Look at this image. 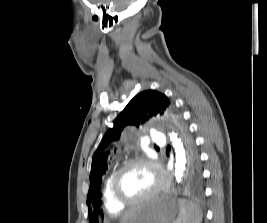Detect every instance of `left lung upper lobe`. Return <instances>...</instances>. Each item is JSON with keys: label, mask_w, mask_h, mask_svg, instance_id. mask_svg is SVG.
<instances>
[{"label": "left lung upper lobe", "mask_w": 267, "mask_h": 223, "mask_svg": "<svg viewBox=\"0 0 267 223\" xmlns=\"http://www.w3.org/2000/svg\"><path fill=\"white\" fill-rule=\"evenodd\" d=\"M163 115L177 124L187 151L188 171H201L199 155L193 139L189 136L188 129L182 122L180 115L175 111L174 104L164 94L155 90H146L137 94L117 116L110 128L102 138L97 151L92 157V170L90 173V185L87 195L89 214H93L91 222L95 223L98 214H106L105 206L101 205V182L108 169V164L114 150L108 149L107 145L119 140L123 129L132 125L137 128L143 127L153 116Z\"/></svg>", "instance_id": "left-lung-upper-lobe-1"}]
</instances>
